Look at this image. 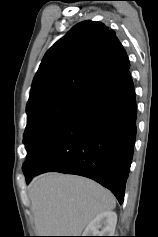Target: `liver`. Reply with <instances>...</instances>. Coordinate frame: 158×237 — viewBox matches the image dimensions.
<instances>
[{
  "label": "liver",
  "mask_w": 158,
  "mask_h": 237,
  "mask_svg": "<svg viewBox=\"0 0 158 237\" xmlns=\"http://www.w3.org/2000/svg\"><path fill=\"white\" fill-rule=\"evenodd\" d=\"M28 194L37 236H80L96 216L116 206L109 190L75 175H39Z\"/></svg>",
  "instance_id": "1"
}]
</instances>
